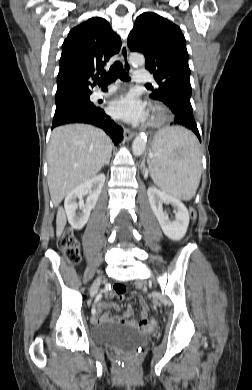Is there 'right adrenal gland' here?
Returning <instances> with one entry per match:
<instances>
[{"label":"right adrenal gland","instance_id":"obj_1","mask_svg":"<svg viewBox=\"0 0 252 390\" xmlns=\"http://www.w3.org/2000/svg\"><path fill=\"white\" fill-rule=\"evenodd\" d=\"M110 158H111V157H109V159L107 160V162H106L104 165H109Z\"/></svg>","mask_w":252,"mask_h":390}]
</instances>
